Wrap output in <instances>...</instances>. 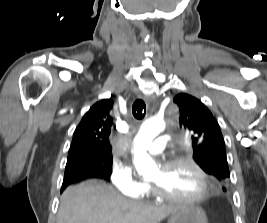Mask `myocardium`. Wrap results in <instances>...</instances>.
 Returning a JSON list of instances; mask_svg holds the SVG:
<instances>
[{
  "label": "myocardium",
  "instance_id": "obj_1",
  "mask_svg": "<svg viewBox=\"0 0 267 223\" xmlns=\"http://www.w3.org/2000/svg\"><path fill=\"white\" fill-rule=\"evenodd\" d=\"M181 164L188 165L197 172L202 184L201 191L191 198H179L162 192L157 185L150 182L149 187L153 196L158 200L175 204L194 205L202 202L208 195L209 183L206 172L197 162L189 157H173L165 160L160 167L168 169Z\"/></svg>",
  "mask_w": 267,
  "mask_h": 223
}]
</instances>
